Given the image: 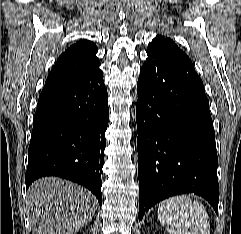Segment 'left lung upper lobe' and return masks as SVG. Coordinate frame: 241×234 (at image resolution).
Wrapping results in <instances>:
<instances>
[{
    "mask_svg": "<svg viewBox=\"0 0 241 234\" xmlns=\"http://www.w3.org/2000/svg\"><path fill=\"white\" fill-rule=\"evenodd\" d=\"M148 49H155L182 62L191 63L189 57L170 38L157 36L148 45Z\"/></svg>",
    "mask_w": 241,
    "mask_h": 234,
    "instance_id": "obj_1",
    "label": "left lung upper lobe"
}]
</instances>
